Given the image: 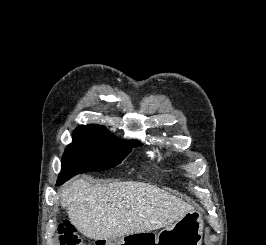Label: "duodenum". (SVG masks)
<instances>
[{"label":"duodenum","mask_w":266,"mask_h":245,"mask_svg":"<svg viewBox=\"0 0 266 245\" xmlns=\"http://www.w3.org/2000/svg\"><path fill=\"white\" fill-rule=\"evenodd\" d=\"M98 242H105V237H98Z\"/></svg>","instance_id":"410a0bca"}]
</instances>
